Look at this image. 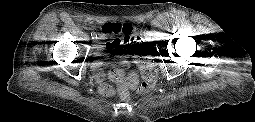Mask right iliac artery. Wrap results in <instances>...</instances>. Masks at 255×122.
<instances>
[{"instance_id":"82829eb1","label":"right iliac artery","mask_w":255,"mask_h":122,"mask_svg":"<svg viewBox=\"0 0 255 122\" xmlns=\"http://www.w3.org/2000/svg\"><path fill=\"white\" fill-rule=\"evenodd\" d=\"M91 37L94 39L95 37H97L95 32H91Z\"/></svg>"}]
</instances>
